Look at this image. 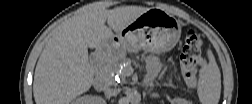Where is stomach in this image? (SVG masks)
<instances>
[{
    "label": "stomach",
    "instance_id": "1",
    "mask_svg": "<svg viewBox=\"0 0 252 104\" xmlns=\"http://www.w3.org/2000/svg\"><path fill=\"white\" fill-rule=\"evenodd\" d=\"M180 35L181 24L174 16L162 9L151 8L114 36L116 38H111L100 47L99 51L114 56L139 50L159 54L170 51Z\"/></svg>",
    "mask_w": 252,
    "mask_h": 104
}]
</instances>
